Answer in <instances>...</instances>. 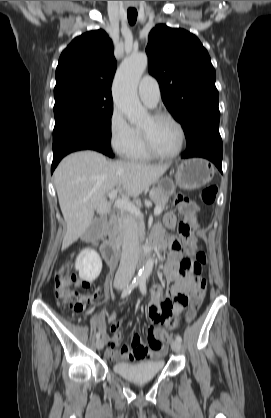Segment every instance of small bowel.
<instances>
[{"label": "small bowel", "instance_id": "c3829d8e", "mask_svg": "<svg viewBox=\"0 0 271 418\" xmlns=\"http://www.w3.org/2000/svg\"><path fill=\"white\" fill-rule=\"evenodd\" d=\"M166 225H175L174 216L166 218ZM161 232L162 229L158 228ZM192 243V239L190 240ZM181 252L173 250L170 252L164 266V274L167 280L166 296L163 297L162 289L154 287L152 298L147 308V315L151 322L148 330V341L144 343L141 338L134 334L131 338V345H119L122 338L120 330L121 322L115 314L109 316L113 335L108 337L104 334V342L108 347L106 357L109 359H122L131 362H142L147 359H157L164 355V341L168 338V333L164 326L173 329L177 326L178 316L188 304L189 294L196 293L199 279L194 276H186L179 270ZM76 285L81 288H88L89 282L77 281ZM98 292H94L89 298H95Z\"/></svg>", "mask_w": 271, "mask_h": 418}]
</instances>
